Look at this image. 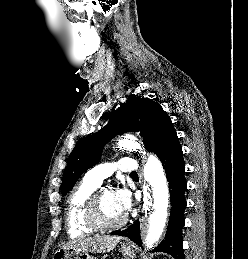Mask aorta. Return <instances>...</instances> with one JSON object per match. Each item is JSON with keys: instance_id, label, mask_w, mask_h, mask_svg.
I'll list each match as a JSON object with an SVG mask.
<instances>
[{"instance_id": "obj_1", "label": "aorta", "mask_w": 248, "mask_h": 259, "mask_svg": "<svg viewBox=\"0 0 248 259\" xmlns=\"http://www.w3.org/2000/svg\"><path fill=\"white\" fill-rule=\"evenodd\" d=\"M119 148L139 150L141 146L132 139L119 140ZM144 155V153H143ZM149 174L146 180L152 186L143 185V211L148 218V225H144L143 232L146 235V247L151 249L159 241L168 215L169 189L163 167L155 156L149 159Z\"/></svg>"}]
</instances>
